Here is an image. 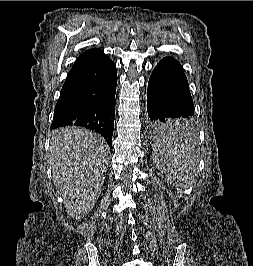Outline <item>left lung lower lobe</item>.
<instances>
[{
  "label": "left lung lower lobe",
  "instance_id": "obj_1",
  "mask_svg": "<svg viewBox=\"0 0 253 266\" xmlns=\"http://www.w3.org/2000/svg\"><path fill=\"white\" fill-rule=\"evenodd\" d=\"M147 111L153 136L189 134L185 119L194 114V105L186 76L176 59L166 57L153 70L148 83Z\"/></svg>",
  "mask_w": 253,
  "mask_h": 266
}]
</instances>
